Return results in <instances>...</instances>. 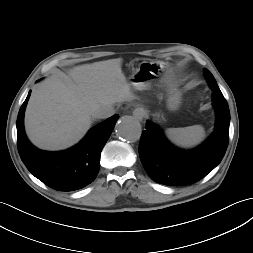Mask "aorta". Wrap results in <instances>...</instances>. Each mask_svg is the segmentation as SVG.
Returning a JSON list of instances; mask_svg holds the SVG:
<instances>
[{
  "mask_svg": "<svg viewBox=\"0 0 253 253\" xmlns=\"http://www.w3.org/2000/svg\"><path fill=\"white\" fill-rule=\"evenodd\" d=\"M115 132L119 138L125 141L135 142L140 138L142 128L137 119L126 116L117 122Z\"/></svg>",
  "mask_w": 253,
  "mask_h": 253,
  "instance_id": "aorta-1",
  "label": "aorta"
}]
</instances>
